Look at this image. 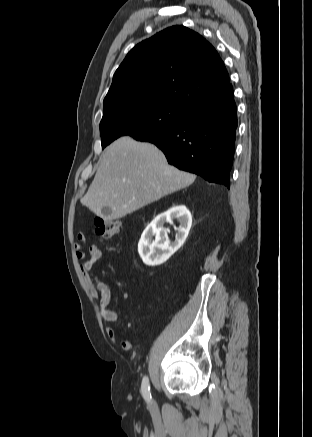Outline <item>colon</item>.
<instances>
[{
	"mask_svg": "<svg viewBox=\"0 0 312 437\" xmlns=\"http://www.w3.org/2000/svg\"><path fill=\"white\" fill-rule=\"evenodd\" d=\"M121 224L118 221L107 220L101 217L95 219V234L100 238H111L120 232Z\"/></svg>",
	"mask_w": 312,
	"mask_h": 437,
	"instance_id": "colon-1",
	"label": "colon"
}]
</instances>
